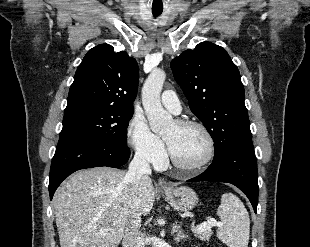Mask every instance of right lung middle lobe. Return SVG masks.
<instances>
[{
    "label": "right lung middle lobe",
    "instance_id": "obj_1",
    "mask_svg": "<svg viewBox=\"0 0 310 247\" xmlns=\"http://www.w3.org/2000/svg\"><path fill=\"white\" fill-rule=\"evenodd\" d=\"M134 110L77 107L64 111L59 140L87 138L114 147H127V127Z\"/></svg>",
    "mask_w": 310,
    "mask_h": 247
}]
</instances>
